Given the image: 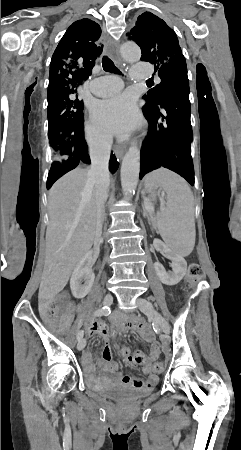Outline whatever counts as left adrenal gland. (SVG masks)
<instances>
[{"label":"left adrenal gland","mask_w":241,"mask_h":450,"mask_svg":"<svg viewBox=\"0 0 241 450\" xmlns=\"http://www.w3.org/2000/svg\"><path fill=\"white\" fill-rule=\"evenodd\" d=\"M142 208H143V216H144V218H148V222H149V224L151 226V220H150V218H149V216H148L144 206H142Z\"/></svg>","instance_id":"obj_1"}]
</instances>
